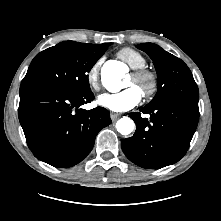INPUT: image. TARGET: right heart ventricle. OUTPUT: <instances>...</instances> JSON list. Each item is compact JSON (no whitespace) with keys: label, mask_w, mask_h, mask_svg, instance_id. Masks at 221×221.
Here are the masks:
<instances>
[{"label":"right heart ventricle","mask_w":221,"mask_h":221,"mask_svg":"<svg viewBox=\"0 0 221 221\" xmlns=\"http://www.w3.org/2000/svg\"><path fill=\"white\" fill-rule=\"evenodd\" d=\"M117 56L126 62L132 69L143 68L147 64L145 56L130 47H123L117 52Z\"/></svg>","instance_id":"obj_1"}]
</instances>
